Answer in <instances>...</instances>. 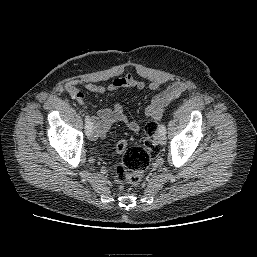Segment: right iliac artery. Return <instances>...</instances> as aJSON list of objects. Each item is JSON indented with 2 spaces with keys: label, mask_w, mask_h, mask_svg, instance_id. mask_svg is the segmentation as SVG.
Segmentation results:
<instances>
[{
  "label": "right iliac artery",
  "mask_w": 257,
  "mask_h": 257,
  "mask_svg": "<svg viewBox=\"0 0 257 257\" xmlns=\"http://www.w3.org/2000/svg\"><path fill=\"white\" fill-rule=\"evenodd\" d=\"M85 130L87 135H89L93 130V125L88 115L85 116Z\"/></svg>",
  "instance_id": "82829eb1"
}]
</instances>
